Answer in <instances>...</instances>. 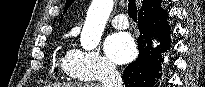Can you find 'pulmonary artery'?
Instances as JSON below:
<instances>
[{"label":"pulmonary artery","mask_w":205,"mask_h":87,"mask_svg":"<svg viewBox=\"0 0 205 87\" xmlns=\"http://www.w3.org/2000/svg\"><path fill=\"white\" fill-rule=\"evenodd\" d=\"M111 24L117 29H126L129 26L128 18L125 14H118L111 20Z\"/></svg>","instance_id":"e3ab8cb5"}]
</instances>
